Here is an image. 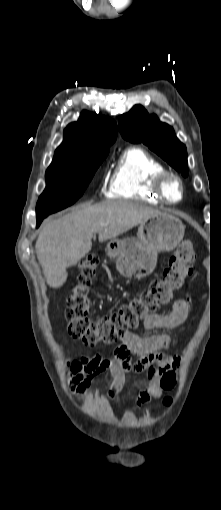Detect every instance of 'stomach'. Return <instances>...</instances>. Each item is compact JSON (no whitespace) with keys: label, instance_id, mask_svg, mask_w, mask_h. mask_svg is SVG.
Segmentation results:
<instances>
[{"label":"stomach","instance_id":"obj_1","mask_svg":"<svg viewBox=\"0 0 221 510\" xmlns=\"http://www.w3.org/2000/svg\"><path fill=\"white\" fill-rule=\"evenodd\" d=\"M184 232L185 226L178 217L161 212L140 223L137 239H112L106 253L116 258V268L123 277L141 279L154 270L158 253L173 250Z\"/></svg>","mask_w":221,"mask_h":510}]
</instances>
